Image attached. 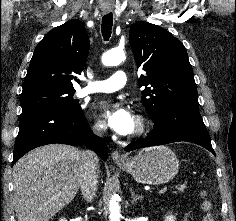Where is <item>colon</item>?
Segmentation results:
<instances>
[{
	"label": "colon",
	"mask_w": 236,
	"mask_h": 221,
	"mask_svg": "<svg viewBox=\"0 0 236 221\" xmlns=\"http://www.w3.org/2000/svg\"><path fill=\"white\" fill-rule=\"evenodd\" d=\"M202 207L206 213L204 217V221H215V216L212 212V205L210 201L204 200L202 203Z\"/></svg>",
	"instance_id": "1"
}]
</instances>
